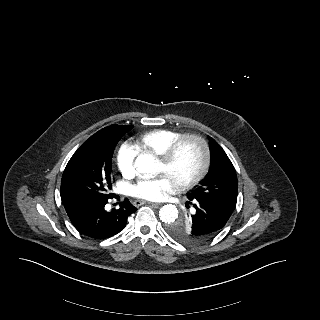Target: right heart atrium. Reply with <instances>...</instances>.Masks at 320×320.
I'll return each mask as SVG.
<instances>
[{"mask_svg": "<svg viewBox=\"0 0 320 320\" xmlns=\"http://www.w3.org/2000/svg\"><path fill=\"white\" fill-rule=\"evenodd\" d=\"M136 154V148L132 143L125 142L120 146L117 152L116 162L117 167L123 176L128 177L134 174Z\"/></svg>", "mask_w": 320, "mask_h": 320, "instance_id": "d8ad5b80", "label": "right heart atrium"}]
</instances>
